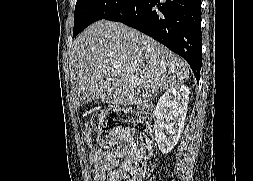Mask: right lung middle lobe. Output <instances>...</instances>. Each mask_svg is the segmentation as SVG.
<instances>
[{"label":"right lung middle lobe","mask_w":253,"mask_h":181,"mask_svg":"<svg viewBox=\"0 0 253 181\" xmlns=\"http://www.w3.org/2000/svg\"><path fill=\"white\" fill-rule=\"evenodd\" d=\"M127 0H77L75 6V37L91 23L118 10Z\"/></svg>","instance_id":"1"}]
</instances>
